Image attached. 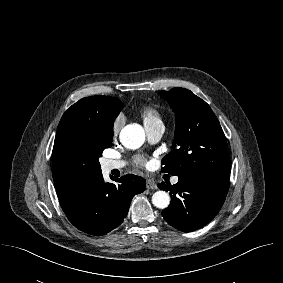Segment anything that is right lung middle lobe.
I'll use <instances>...</instances> for the list:
<instances>
[{"label": "right lung middle lobe", "instance_id": "1", "mask_svg": "<svg viewBox=\"0 0 283 283\" xmlns=\"http://www.w3.org/2000/svg\"><path fill=\"white\" fill-rule=\"evenodd\" d=\"M112 128L101 129L94 124L75 121L67 129L64 145L66 169L77 176L88 177L101 171L99 157L111 147Z\"/></svg>", "mask_w": 283, "mask_h": 283}]
</instances>
